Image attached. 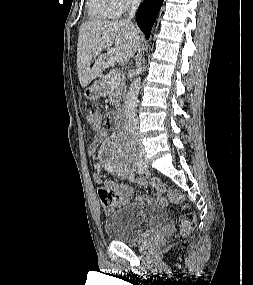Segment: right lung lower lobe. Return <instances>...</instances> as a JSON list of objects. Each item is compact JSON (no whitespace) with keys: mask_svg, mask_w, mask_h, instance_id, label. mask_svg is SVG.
<instances>
[{"mask_svg":"<svg viewBox=\"0 0 253 285\" xmlns=\"http://www.w3.org/2000/svg\"><path fill=\"white\" fill-rule=\"evenodd\" d=\"M163 0H145L140 4L136 20L140 29L144 32L146 37H149L151 26L153 25L158 11L162 6Z\"/></svg>","mask_w":253,"mask_h":285,"instance_id":"right-lung-lower-lobe-1","label":"right lung lower lobe"}]
</instances>
